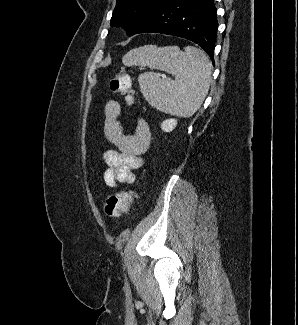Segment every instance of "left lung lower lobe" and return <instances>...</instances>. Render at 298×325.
<instances>
[{"label": "left lung lower lobe", "mask_w": 298, "mask_h": 325, "mask_svg": "<svg viewBox=\"0 0 298 325\" xmlns=\"http://www.w3.org/2000/svg\"><path fill=\"white\" fill-rule=\"evenodd\" d=\"M214 0H165L133 33H162L198 44L214 63L217 36Z\"/></svg>", "instance_id": "left-lung-lower-lobe-1"}]
</instances>
